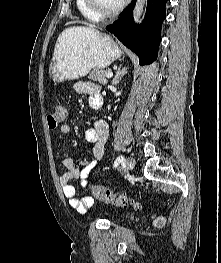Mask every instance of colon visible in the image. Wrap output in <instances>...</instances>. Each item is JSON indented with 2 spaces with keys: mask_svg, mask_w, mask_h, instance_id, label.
Wrapping results in <instances>:
<instances>
[{
  "mask_svg": "<svg viewBox=\"0 0 221 263\" xmlns=\"http://www.w3.org/2000/svg\"><path fill=\"white\" fill-rule=\"evenodd\" d=\"M66 117V108L62 104H57L55 105L48 113L47 116V122L48 126L50 129H55L57 128L61 122L65 119ZM91 191L93 195L108 204H112L114 206H119V207H132V208H139L140 204L135 201L134 199H130L125 195L115 193L111 191L110 189L101 187V186H92ZM164 223V218L163 217H158L155 220V224L157 226H161Z\"/></svg>",
  "mask_w": 221,
  "mask_h": 263,
  "instance_id": "5ec220e1",
  "label": "colon"
}]
</instances>
